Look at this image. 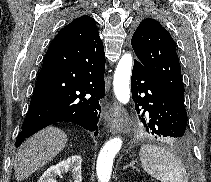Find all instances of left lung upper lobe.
<instances>
[{"label": "left lung upper lobe", "instance_id": "obj_1", "mask_svg": "<svg viewBox=\"0 0 211 182\" xmlns=\"http://www.w3.org/2000/svg\"><path fill=\"white\" fill-rule=\"evenodd\" d=\"M137 61L166 90L184 100L176 44L167 30L152 18L144 19L131 39Z\"/></svg>", "mask_w": 211, "mask_h": 182}]
</instances>
